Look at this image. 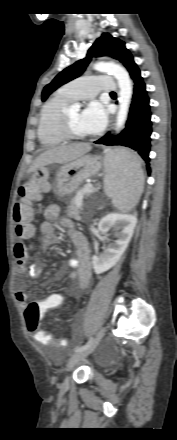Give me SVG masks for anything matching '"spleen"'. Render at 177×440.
Wrapping results in <instances>:
<instances>
[{"instance_id":"3e777b00","label":"spleen","mask_w":177,"mask_h":440,"mask_svg":"<svg viewBox=\"0 0 177 440\" xmlns=\"http://www.w3.org/2000/svg\"><path fill=\"white\" fill-rule=\"evenodd\" d=\"M116 163L119 165L118 169L115 167ZM105 170V193L117 209L130 211L138 203L143 192L141 159L127 149H115L113 162L106 163Z\"/></svg>"}]
</instances>
